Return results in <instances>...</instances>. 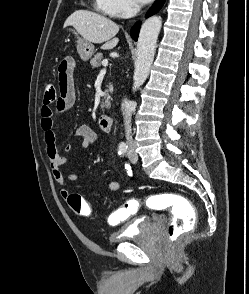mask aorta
Returning <instances> with one entry per match:
<instances>
[{
	"instance_id": "aorta-1",
	"label": "aorta",
	"mask_w": 249,
	"mask_h": 294,
	"mask_svg": "<svg viewBox=\"0 0 249 294\" xmlns=\"http://www.w3.org/2000/svg\"><path fill=\"white\" fill-rule=\"evenodd\" d=\"M161 27L162 19L158 16L150 17L142 24L137 41V59L132 87L134 92L142 86L149 75Z\"/></svg>"
}]
</instances>
